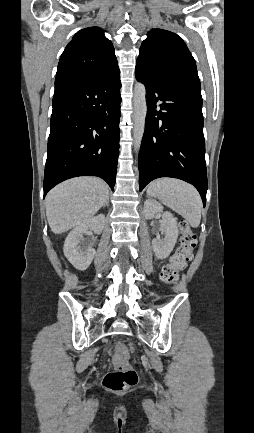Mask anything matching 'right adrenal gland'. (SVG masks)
<instances>
[{"label": "right adrenal gland", "instance_id": "2a0ac1e0", "mask_svg": "<svg viewBox=\"0 0 254 433\" xmlns=\"http://www.w3.org/2000/svg\"><path fill=\"white\" fill-rule=\"evenodd\" d=\"M108 207L109 206V197L107 198V201H106V203L104 204V206L103 207Z\"/></svg>", "mask_w": 254, "mask_h": 433}]
</instances>
